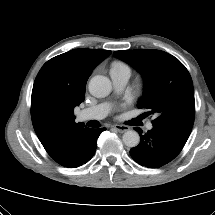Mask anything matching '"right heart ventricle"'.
Returning <instances> with one entry per match:
<instances>
[{
    "mask_svg": "<svg viewBox=\"0 0 215 215\" xmlns=\"http://www.w3.org/2000/svg\"><path fill=\"white\" fill-rule=\"evenodd\" d=\"M121 70H126V71L130 72L129 67L126 64H124L122 62H114V63H112L111 71H121Z\"/></svg>",
    "mask_w": 215,
    "mask_h": 215,
    "instance_id": "obj_1",
    "label": "right heart ventricle"
}]
</instances>
